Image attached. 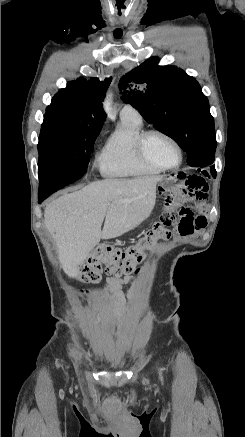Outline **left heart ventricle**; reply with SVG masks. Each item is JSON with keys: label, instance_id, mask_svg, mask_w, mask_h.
I'll use <instances>...</instances> for the list:
<instances>
[{"label": "left heart ventricle", "instance_id": "1", "mask_svg": "<svg viewBox=\"0 0 245 437\" xmlns=\"http://www.w3.org/2000/svg\"><path fill=\"white\" fill-rule=\"evenodd\" d=\"M145 150L152 160L162 165L173 166L178 162V152L174 145L159 135L147 139Z\"/></svg>", "mask_w": 245, "mask_h": 437}]
</instances>
